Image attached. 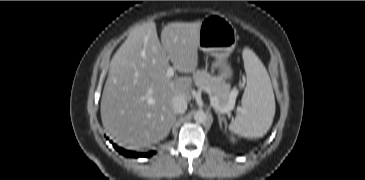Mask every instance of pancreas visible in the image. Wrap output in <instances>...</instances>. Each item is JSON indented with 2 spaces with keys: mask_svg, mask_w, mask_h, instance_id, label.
Wrapping results in <instances>:
<instances>
[{
  "mask_svg": "<svg viewBox=\"0 0 365 180\" xmlns=\"http://www.w3.org/2000/svg\"><path fill=\"white\" fill-rule=\"evenodd\" d=\"M193 80L198 89H201L211 96L217 98L221 107L234 105L230 99V88L218 78L211 76L206 70H198L193 74Z\"/></svg>",
  "mask_w": 365,
  "mask_h": 180,
  "instance_id": "1",
  "label": "pancreas"
}]
</instances>
